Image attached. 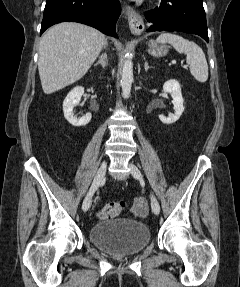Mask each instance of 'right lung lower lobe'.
<instances>
[{"mask_svg":"<svg viewBox=\"0 0 240 287\" xmlns=\"http://www.w3.org/2000/svg\"><path fill=\"white\" fill-rule=\"evenodd\" d=\"M120 14L119 0H47L40 35L56 23L72 21L117 37L116 22Z\"/></svg>","mask_w":240,"mask_h":287,"instance_id":"1","label":"right lung lower lobe"}]
</instances>
